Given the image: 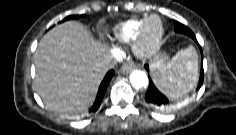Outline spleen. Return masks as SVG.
Returning a JSON list of instances; mask_svg holds the SVG:
<instances>
[{"instance_id": "spleen-1", "label": "spleen", "mask_w": 236, "mask_h": 135, "mask_svg": "<svg viewBox=\"0 0 236 135\" xmlns=\"http://www.w3.org/2000/svg\"><path fill=\"white\" fill-rule=\"evenodd\" d=\"M152 78L157 88L172 98L185 96L196 84L198 78V56L195 48L189 46L180 50L170 61L152 66Z\"/></svg>"}]
</instances>
